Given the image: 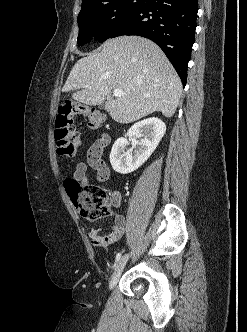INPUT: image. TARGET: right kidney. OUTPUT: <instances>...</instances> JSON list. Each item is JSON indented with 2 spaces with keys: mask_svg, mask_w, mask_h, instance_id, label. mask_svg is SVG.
Segmentation results:
<instances>
[{
  "mask_svg": "<svg viewBox=\"0 0 247 332\" xmlns=\"http://www.w3.org/2000/svg\"><path fill=\"white\" fill-rule=\"evenodd\" d=\"M166 132L165 123L156 117L147 118L135 123L127 136L118 138L110 153V163L114 171L128 174L137 170L154 152ZM135 137L138 147L125 152L126 146Z\"/></svg>",
  "mask_w": 247,
  "mask_h": 332,
  "instance_id": "1",
  "label": "right kidney"
}]
</instances>
